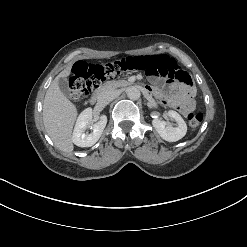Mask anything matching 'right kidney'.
<instances>
[{"label":"right kidney","mask_w":247,"mask_h":247,"mask_svg":"<svg viewBox=\"0 0 247 247\" xmlns=\"http://www.w3.org/2000/svg\"><path fill=\"white\" fill-rule=\"evenodd\" d=\"M98 119L97 121V118L93 116L91 108L81 112L72 135V141L76 146L91 147L99 140L107 124V117L106 115H101ZM90 126L93 128V132L90 134L85 133L86 129Z\"/></svg>","instance_id":"obj_1"}]
</instances>
